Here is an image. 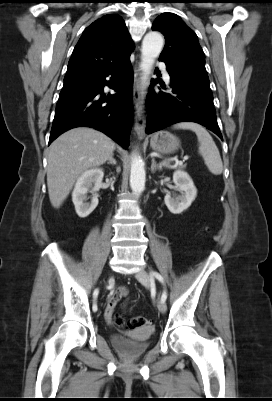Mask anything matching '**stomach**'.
<instances>
[{
	"mask_svg": "<svg viewBox=\"0 0 272 401\" xmlns=\"http://www.w3.org/2000/svg\"><path fill=\"white\" fill-rule=\"evenodd\" d=\"M150 146L158 153L170 154L179 148L180 140L169 131L163 130L151 136Z\"/></svg>",
	"mask_w": 272,
	"mask_h": 401,
	"instance_id": "0dacf381",
	"label": "stomach"
}]
</instances>
